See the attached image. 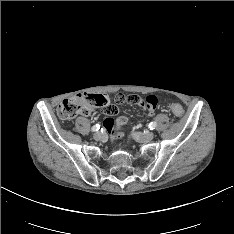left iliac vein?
<instances>
[{
    "label": "left iliac vein",
    "instance_id": "1",
    "mask_svg": "<svg viewBox=\"0 0 234 234\" xmlns=\"http://www.w3.org/2000/svg\"><path fill=\"white\" fill-rule=\"evenodd\" d=\"M133 138L138 142H150L154 138V133L153 132H146V133L135 132L133 133Z\"/></svg>",
    "mask_w": 234,
    "mask_h": 234
}]
</instances>
